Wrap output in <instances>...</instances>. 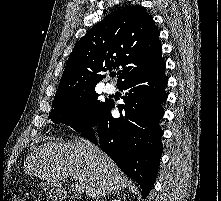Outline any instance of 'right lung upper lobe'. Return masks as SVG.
I'll use <instances>...</instances> for the list:
<instances>
[{
  "mask_svg": "<svg viewBox=\"0 0 221 201\" xmlns=\"http://www.w3.org/2000/svg\"><path fill=\"white\" fill-rule=\"evenodd\" d=\"M163 61L159 31L146 10L125 6L93 26L68 58L55 97L94 89L104 75L119 70L117 86Z\"/></svg>",
  "mask_w": 221,
  "mask_h": 201,
  "instance_id": "1",
  "label": "right lung upper lobe"
}]
</instances>
